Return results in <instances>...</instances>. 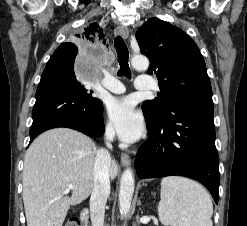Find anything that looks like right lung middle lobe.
Segmentation results:
<instances>
[{
	"label": "right lung middle lobe",
	"instance_id": "dd1d6c3e",
	"mask_svg": "<svg viewBox=\"0 0 247 226\" xmlns=\"http://www.w3.org/2000/svg\"><path fill=\"white\" fill-rule=\"evenodd\" d=\"M70 62L74 65V61H75V57H71V56H66Z\"/></svg>",
	"mask_w": 247,
	"mask_h": 226
}]
</instances>
